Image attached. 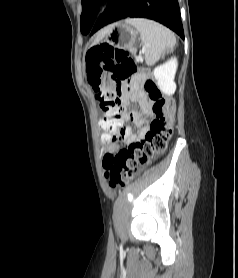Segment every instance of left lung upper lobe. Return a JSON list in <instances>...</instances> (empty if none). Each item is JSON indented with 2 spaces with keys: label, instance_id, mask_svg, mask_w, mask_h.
Segmentation results:
<instances>
[{
  "label": "left lung upper lobe",
  "instance_id": "obj_1",
  "mask_svg": "<svg viewBox=\"0 0 238 278\" xmlns=\"http://www.w3.org/2000/svg\"><path fill=\"white\" fill-rule=\"evenodd\" d=\"M101 0H83L80 18L81 32L89 33L96 19V8Z\"/></svg>",
  "mask_w": 238,
  "mask_h": 278
}]
</instances>
